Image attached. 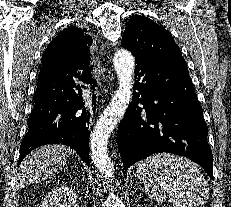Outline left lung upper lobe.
<instances>
[{
    "label": "left lung upper lobe",
    "instance_id": "1",
    "mask_svg": "<svg viewBox=\"0 0 231 207\" xmlns=\"http://www.w3.org/2000/svg\"><path fill=\"white\" fill-rule=\"evenodd\" d=\"M122 46L136 57L170 66H187L180 48L166 29L143 15H134L126 25Z\"/></svg>",
    "mask_w": 231,
    "mask_h": 207
}]
</instances>
